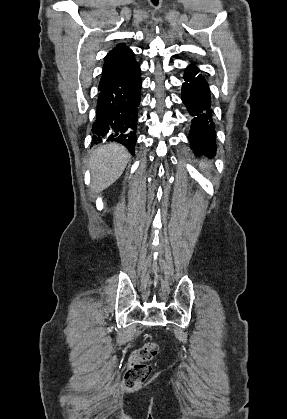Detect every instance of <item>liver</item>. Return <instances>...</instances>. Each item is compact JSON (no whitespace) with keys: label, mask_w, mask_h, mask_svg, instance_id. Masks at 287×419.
Listing matches in <instances>:
<instances>
[{"label":"liver","mask_w":287,"mask_h":419,"mask_svg":"<svg viewBox=\"0 0 287 419\" xmlns=\"http://www.w3.org/2000/svg\"><path fill=\"white\" fill-rule=\"evenodd\" d=\"M129 158V152L120 144L97 146L89 160L92 192L100 193L113 184L123 173Z\"/></svg>","instance_id":"obj_1"}]
</instances>
